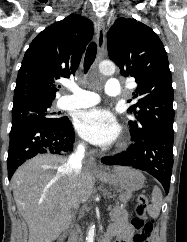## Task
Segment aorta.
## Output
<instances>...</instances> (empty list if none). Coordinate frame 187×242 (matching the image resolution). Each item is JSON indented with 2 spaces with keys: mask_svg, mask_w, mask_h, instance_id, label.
Listing matches in <instances>:
<instances>
[{
  "mask_svg": "<svg viewBox=\"0 0 187 242\" xmlns=\"http://www.w3.org/2000/svg\"><path fill=\"white\" fill-rule=\"evenodd\" d=\"M99 71L103 75H112L115 72V64L111 61H102L99 64ZM93 241H94V227H91L87 242H93Z\"/></svg>",
  "mask_w": 187,
  "mask_h": 242,
  "instance_id": "aorta-1",
  "label": "aorta"
}]
</instances>
